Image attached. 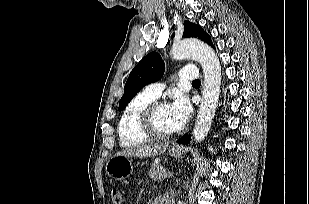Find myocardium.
Instances as JSON below:
<instances>
[{
  "label": "myocardium",
  "instance_id": "obj_1",
  "mask_svg": "<svg viewBox=\"0 0 309 204\" xmlns=\"http://www.w3.org/2000/svg\"><path fill=\"white\" fill-rule=\"evenodd\" d=\"M168 103L164 100H153L148 103L139 113L138 116V126L144 135H146L149 139L153 140H161L169 138L175 135L178 130H174L171 132H160L157 130L154 124V116L157 110L166 106Z\"/></svg>",
  "mask_w": 309,
  "mask_h": 204
}]
</instances>
